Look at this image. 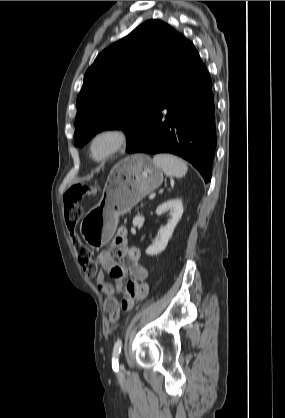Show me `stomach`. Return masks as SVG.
<instances>
[{"label": "stomach", "instance_id": "stomach-1", "mask_svg": "<svg viewBox=\"0 0 285 418\" xmlns=\"http://www.w3.org/2000/svg\"><path fill=\"white\" fill-rule=\"evenodd\" d=\"M163 182V171L145 154L119 161L111 170L100 201L80 224L83 239L94 247L113 237L119 216L129 212Z\"/></svg>", "mask_w": 285, "mask_h": 418}]
</instances>
